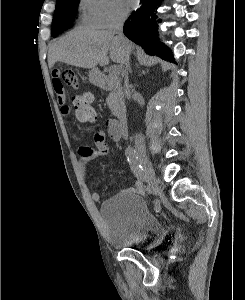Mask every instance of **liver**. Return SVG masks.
I'll return each instance as SVG.
<instances>
[{
	"label": "liver",
	"instance_id": "6515ba94",
	"mask_svg": "<svg viewBox=\"0 0 245 300\" xmlns=\"http://www.w3.org/2000/svg\"><path fill=\"white\" fill-rule=\"evenodd\" d=\"M133 45L126 39L124 45L112 31L79 28L68 32L52 44L48 54V65L52 68L57 61L77 67L94 69L98 64L109 63L108 52L113 62L124 64L130 57Z\"/></svg>",
	"mask_w": 245,
	"mask_h": 300
}]
</instances>
